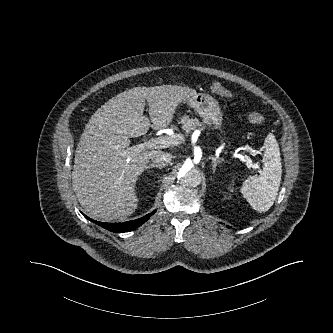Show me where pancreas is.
<instances>
[{
  "instance_id": "pancreas-1",
  "label": "pancreas",
  "mask_w": 333,
  "mask_h": 333,
  "mask_svg": "<svg viewBox=\"0 0 333 333\" xmlns=\"http://www.w3.org/2000/svg\"><path fill=\"white\" fill-rule=\"evenodd\" d=\"M180 123H182V128L186 133L194 130L197 126H200L197 119H190L188 116L181 117Z\"/></svg>"
}]
</instances>
